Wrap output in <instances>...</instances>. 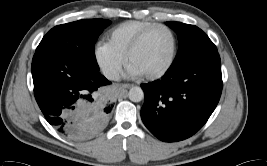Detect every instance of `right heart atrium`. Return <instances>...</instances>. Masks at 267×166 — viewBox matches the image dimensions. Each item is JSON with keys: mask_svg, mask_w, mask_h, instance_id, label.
<instances>
[{"mask_svg": "<svg viewBox=\"0 0 267 166\" xmlns=\"http://www.w3.org/2000/svg\"><path fill=\"white\" fill-rule=\"evenodd\" d=\"M95 57L99 66L106 74L115 75L123 67L124 59L109 44L100 42L95 48Z\"/></svg>", "mask_w": 267, "mask_h": 166, "instance_id": "d8ad5b80", "label": "right heart atrium"}]
</instances>
